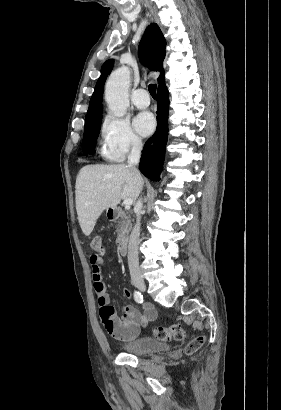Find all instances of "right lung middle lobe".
I'll list each match as a JSON object with an SVG mask.
<instances>
[{
	"instance_id": "right-lung-middle-lobe-1",
	"label": "right lung middle lobe",
	"mask_w": 281,
	"mask_h": 410,
	"mask_svg": "<svg viewBox=\"0 0 281 410\" xmlns=\"http://www.w3.org/2000/svg\"><path fill=\"white\" fill-rule=\"evenodd\" d=\"M102 122V116L85 122L82 150L85 155L91 154L94 150Z\"/></svg>"
}]
</instances>
